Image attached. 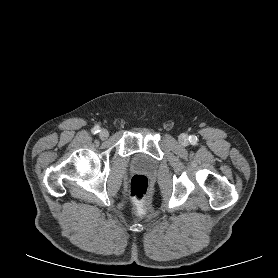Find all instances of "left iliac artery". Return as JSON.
Returning <instances> with one entry per match:
<instances>
[{"instance_id":"1","label":"left iliac artery","mask_w":278,"mask_h":278,"mask_svg":"<svg viewBox=\"0 0 278 278\" xmlns=\"http://www.w3.org/2000/svg\"><path fill=\"white\" fill-rule=\"evenodd\" d=\"M189 141L192 143V144H195L196 141H197V138L195 136H190L189 137Z\"/></svg>"}]
</instances>
